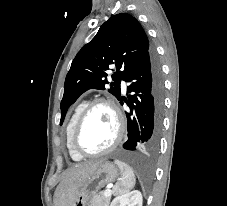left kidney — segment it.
<instances>
[{
    "label": "left kidney",
    "instance_id": "1",
    "mask_svg": "<svg viewBox=\"0 0 227 206\" xmlns=\"http://www.w3.org/2000/svg\"><path fill=\"white\" fill-rule=\"evenodd\" d=\"M142 202V194L134 190L118 195L113 199L110 206H142Z\"/></svg>",
    "mask_w": 227,
    "mask_h": 206
}]
</instances>
